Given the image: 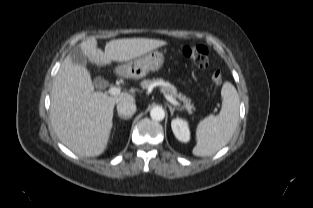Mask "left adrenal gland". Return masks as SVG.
Returning <instances> with one entry per match:
<instances>
[{"instance_id":"a2214340","label":"left adrenal gland","mask_w":313,"mask_h":208,"mask_svg":"<svg viewBox=\"0 0 313 208\" xmlns=\"http://www.w3.org/2000/svg\"><path fill=\"white\" fill-rule=\"evenodd\" d=\"M168 107H169V110H170V113H171V116H173L174 114V111L175 110H181L180 108H175V107H172L171 105L168 104Z\"/></svg>"}]
</instances>
